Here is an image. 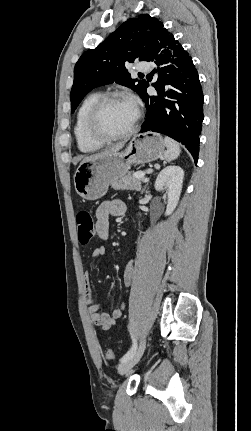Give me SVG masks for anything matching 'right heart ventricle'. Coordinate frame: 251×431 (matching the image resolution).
Wrapping results in <instances>:
<instances>
[{
	"label": "right heart ventricle",
	"instance_id": "obj_1",
	"mask_svg": "<svg viewBox=\"0 0 251 431\" xmlns=\"http://www.w3.org/2000/svg\"><path fill=\"white\" fill-rule=\"evenodd\" d=\"M101 97L98 92L91 93L81 102L77 113L74 126V137L78 149L83 153H91L102 147L103 143L92 140L86 132V119L92 106Z\"/></svg>",
	"mask_w": 251,
	"mask_h": 431
}]
</instances>
